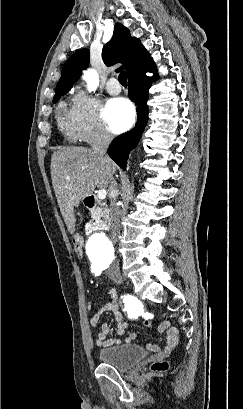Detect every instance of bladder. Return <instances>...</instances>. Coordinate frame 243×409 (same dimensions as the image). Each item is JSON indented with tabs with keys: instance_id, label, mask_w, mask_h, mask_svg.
Here are the masks:
<instances>
[{
	"instance_id": "1",
	"label": "bladder",
	"mask_w": 243,
	"mask_h": 409,
	"mask_svg": "<svg viewBox=\"0 0 243 409\" xmlns=\"http://www.w3.org/2000/svg\"><path fill=\"white\" fill-rule=\"evenodd\" d=\"M147 356V351L135 344H121L102 348L98 357L106 365L126 371Z\"/></svg>"
}]
</instances>
